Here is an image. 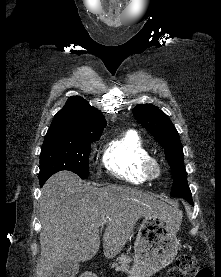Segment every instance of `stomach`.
<instances>
[{
  "label": "stomach",
  "instance_id": "obj_1",
  "mask_svg": "<svg viewBox=\"0 0 221 277\" xmlns=\"http://www.w3.org/2000/svg\"><path fill=\"white\" fill-rule=\"evenodd\" d=\"M182 214L171 208L169 214L145 216L134 246V262L129 277H150L168 266L177 255V233Z\"/></svg>",
  "mask_w": 221,
  "mask_h": 277
}]
</instances>
